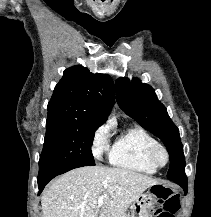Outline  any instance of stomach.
Here are the masks:
<instances>
[{
	"mask_svg": "<svg viewBox=\"0 0 211 217\" xmlns=\"http://www.w3.org/2000/svg\"><path fill=\"white\" fill-rule=\"evenodd\" d=\"M158 186V185H154ZM157 187H150L146 193H142L131 206L130 217H151L150 211L156 202L154 191Z\"/></svg>",
	"mask_w": 211,
	"mask_h": 217,
	"instance_id": "obj_1",
	"label": "stomach"
}]
</instances>
